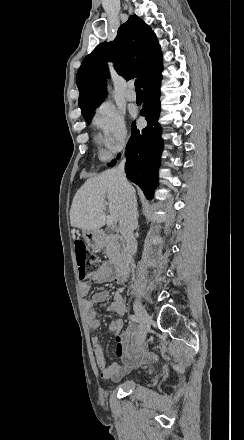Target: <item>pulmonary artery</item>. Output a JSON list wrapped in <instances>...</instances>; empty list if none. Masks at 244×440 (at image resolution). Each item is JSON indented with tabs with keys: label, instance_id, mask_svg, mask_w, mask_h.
<instances>
[{
	"label": "pulmonary artery",
	"instance_id": "pulmonary-artery-1",
	"mask_svg": "<svg viewBox=\"0 0 244 440\" xmlns=\"http://www.w3.org/2000/svg\"><path fill=\"white\" fill-rule=\"evenodd\" d=\"M126 99H127L128 101H135V99H136V95H135V93H134V92H128V93H126Z\"/></svg>",
	"mask_w": 244,
	"mask_h": 440
}]
</instances>
